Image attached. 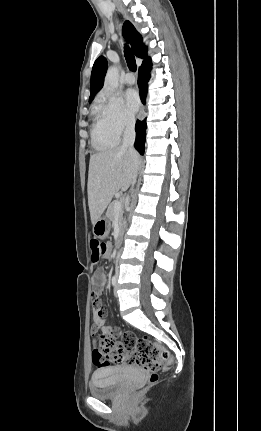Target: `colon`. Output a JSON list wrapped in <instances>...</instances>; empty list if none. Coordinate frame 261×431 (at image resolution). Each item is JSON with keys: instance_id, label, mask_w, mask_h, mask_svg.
Listing matches in <instances>:
<instances>
[{"instance_id": "colon-1", "label": "colon", "mask_w": 261, "mask_h": 431, "mask_svg": "<svg viewBox=\"0 0 261 431\" xmlns=\"http://www.w3.org/2000/svg\"><path fill=\"white\" fill-rule=\"evenodd\" d=\"M90 246L92 263H98L108 253L105 242L93 239ZM94 356L97 358L93 362L95 369H103L109 362L139 366L150 373L151 382L156 381L158 373L171 363L170 354L165 348L149 338H139L132 332L124 333L119 341L103 334Z\"/></svg>"}]
</instances>
